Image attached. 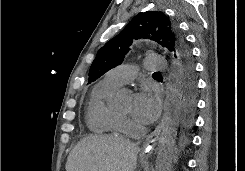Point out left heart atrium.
Returning a JSON list of instances; mask_svg holds the SVG:
<instances>
[{"instance_id": "obj_1", "label": "left heart atrium", "mask_w": 245, "mask_h": 171, "mask_svg": "<svg viewBox=\"0 0 245 171\" xmlns=\"http://www.w3.org/2000/svg\"><path fill=\"white\" fill-rule=\"evenodd\" d=\"M160 110V99L150 89L142 88L135 94L132 114L137 121L150 124L159 116Z\"/></svg>"}]
</instances>
